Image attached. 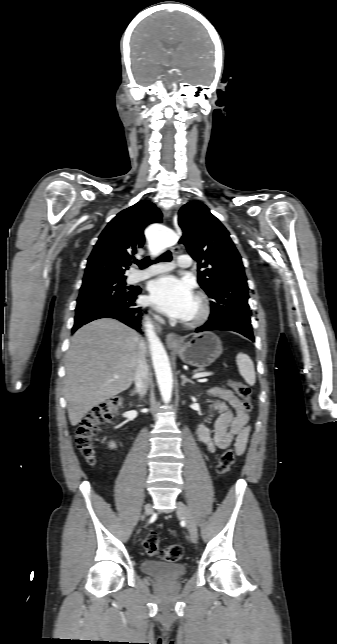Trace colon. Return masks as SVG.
Here are the masks:
<instances>
[{
    "instance_id": "obj_1",
    "label": "colon",
    "mask_w": 337,
    "mask_h": 644,
    "mask_svg": "<svg viewBox=\"0 0 337 644\" xmlns=\"http://www.w3.org/2000/svg\"><path fill=\"white\" fill-rule=\"evenodd\" d=\"M228 383L242 400L243 409L246 412L250 411L252 409V402L249 387L235 380H229ZM122 404L123 399L121 397H114L94 407L79 425L76 437L77 447L89 464L95 463L94 445L100 427L118 414ZM234 460V450L232 448L226 449L218 459L217 473L219 475L226 474L233 465ZM143 547L147 554L151 556L160 554L162 559L168 562H176L183 555V549L178 544L169 545L160 551L159 536L156 532H150L146 535L143 540Z\"/></svg>"
}]
</instances>
